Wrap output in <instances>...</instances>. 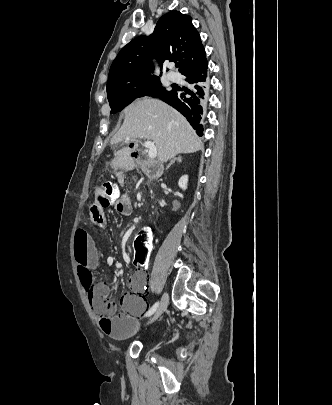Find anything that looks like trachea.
I'll return each mask as SVG.
<instances>
[{"instance_id":"3493384b","label":"trachea","mask_w":332,"mask_h":405,"mask_svg":"<svg viewBox=\"0 0 332 405\" xmlns=\"http://www.w3.org/2000/svg\"><path fill=\"white\" fill-rule=\"evenodd\" d=\"M179 66V64L178 63H176V67H178Z\"/></svg>"}]
</instances>
